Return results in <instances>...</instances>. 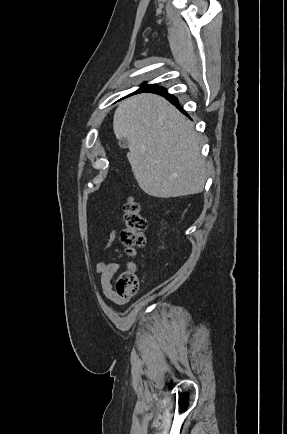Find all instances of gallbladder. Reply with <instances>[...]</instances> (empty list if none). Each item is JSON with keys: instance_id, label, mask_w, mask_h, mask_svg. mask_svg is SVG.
Listing matches in <instances>:
<instances>
[{"instance_id": "obj_1", "label": "gallbladder", "mask_w": 287, "mask_h": 434, "mask_svg": "<svg viewBox=\"0 0 287 434\" xmlns=\"http://www.w3.org/2000/svg\"><path fill=\"white\" fill-rule=\"evenodd\" d=\"M118 145L121 148H127L128 147V140L126 138H120L119 142H118Z\"/></svg>"}]
</instances>
